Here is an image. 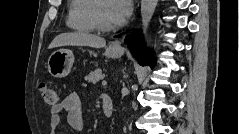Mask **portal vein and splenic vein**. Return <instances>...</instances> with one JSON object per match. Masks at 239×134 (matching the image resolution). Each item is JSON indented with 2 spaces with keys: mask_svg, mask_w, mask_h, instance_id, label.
Masks as SVG:
<instances>
[{
  "mask_svg": "<svg viewBox=\"0 0 239 134\" xmlns=\"http://www.w3.org/2000/svg\"><path fill=\"white\" fill-rule=\"evenodd\" d=\"M107 82L105 80L102 81V85H106Z\"/></svg>",
  "mask_w": 239,
  "mask_h": 134,
  "instance_id": "portal-vein-and-splenic-vein-1",
  "label": "portal vein and splenic vein"
}]
</instances>
